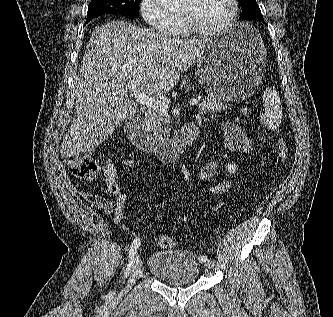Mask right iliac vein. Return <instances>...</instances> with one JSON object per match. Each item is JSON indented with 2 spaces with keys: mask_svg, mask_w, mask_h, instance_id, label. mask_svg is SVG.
<instances>
[{
  "mask_svg": "<svg viewBox=\"0 0 333 317\" xmlns=\"http://www.w3.org/2000/svg\"><path fill=\"white\" fill-rule=\"evenodd\" d=\"M141 267H142V260L139 255H136L134 263H133V267H132V272L130 274L128 282H127L125 288L123 289L121 295L126 294L133 287V285L139 275Z\"/></svg>",
  "mask_w": 333,
  "mask_h": 317,
  "instance_id": "63e3f726",
  "label": "right iliac vein"
}]
</instances>
